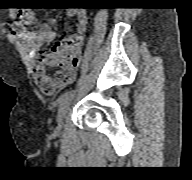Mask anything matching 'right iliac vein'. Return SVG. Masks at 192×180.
I'll list each match as a JSON object with an SVG mask.
<instances>
[{"label":"right iliac vein","instance_id":"obj_1","mask_svg":"<svg viewBox=\"0 0 192 180\" xmlns=\"http://www.w3.org/2000/svg\"><path fill=\"white\" fill-rule=\"evenodd\" d=\"M70 107V101L65 102L63 105L60 106L57 114V123L58 127L61 128L64 118L66 116L67 111L69 110Z\"/></svg>","mask_w":192,"mask_h":180}]
</instances>
